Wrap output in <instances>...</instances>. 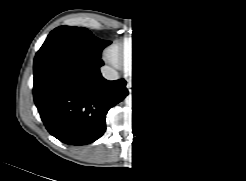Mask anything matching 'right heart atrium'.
I'll list each match as a JSON object with an SVG mask.
<instances>
[{"instance_id": "right-heart-atrium-1", "label": "right heart atrium", "mask_w": 246, "mask_h": 181, "mask_svg": "<svg viewBox=\"0 0 246 181\" xmlns=\"http://www.w3.org/2000/svg\"><path fill=\"white\" fill-rule=\"evenodd\" d=\"M108 59H109L110 63L116 67L120 66L122 64V62L124 64H126L118 55H116L114 53H110L108 56Z\"/></svg>"}]
</instances>
